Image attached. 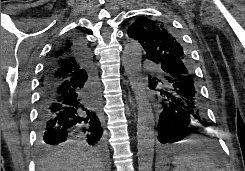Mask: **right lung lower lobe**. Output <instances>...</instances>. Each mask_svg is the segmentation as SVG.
Segmentation results:
<instances>
[{"label": "right lung lower lobe", "instance_id": "obj_1", "mask_svg": "<svg viewBox=\"0 0 245 171\" xmlns=\"http://www.w3.org/2000/svg\"><path fill=\"white\" fill-rule=\"evenodd\" d=\"M75 55L86 70L84 75L53 79L57 62L50 57L46 64L38 106V139L43 145L67 140L102 144L99 88L91 52L80 39Z\"/></svg>", "mask_w": 245, "mask_h": 171}]
</instances>
